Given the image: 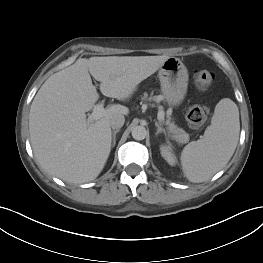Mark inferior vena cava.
<instances>
[{
	"label": "inferior vena cava",
	"mask_w": 263,
	"mask_h": 263,
	"mask_svg": "<svg viewBox=\"0 0 263 263\" xmlns=\"http://www.w3.org/2000/svg\"><path fill=\"white\" fill-rule=\"evenodd\" d=\"M125 117L122 114H116L110 119V126L113 129H119L124 125Z\"/></svg>",
	"instance_id": "602c4592"
}]
</instances>
